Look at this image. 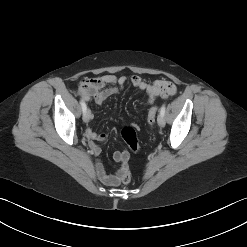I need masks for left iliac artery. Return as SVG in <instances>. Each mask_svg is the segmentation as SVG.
<instances>
[{
	"mask_svg": "<svg viewBox=\"0 0 247 247\" xmlns=\"http://www.w3.org/2000/svg\"><path fill=\"white\" fill-rule=\"evenodd\" d=\"M165 109H166L165 104H163L161 109H160V114L163 116L165 115Z\"/></svg>",
	"mask_w": 247,
	"mask_h": 247,
	"instance_id": "left-iliac-artery-1",
	"label": "left iliac artery"
}]
</instances>
